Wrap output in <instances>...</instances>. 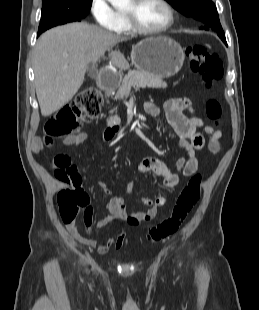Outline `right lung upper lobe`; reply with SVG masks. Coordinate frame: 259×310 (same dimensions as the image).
<instances>
[{"label": "right lung upper lobe", "instance_id": "cb5924a9", "mask_svg": "<svg viewBox=\"0 0 259 310\" xmlns=\"http://www.w3.org/2000/svg\"><path fill=\"white\" fill-rule=\"evenodd\" d=\"M46 1H52V0H43V2H46Z\"/></svg>", "mask_w": 259, "mask_h": 310}]
</instances>
